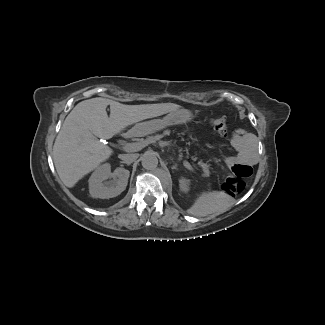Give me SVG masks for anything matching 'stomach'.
<instances>
[{"label": "stomach", "mask_w": 325, "mask_h": 325, "mask_svg": "<svg viewBox=\"0 0 325 325\" xmlns=\"http://www.w3.org/2000/svg\"><path fill=\"white\" fill-rule=\"evenodd\" d=\"M191 115L181 110L170 112L163 119H155L148 122L140 123L134 126L129 134L131 136L140 137L151 134L153 131H159L166 126L182 124L190 120Z\"/></svg>", "instance_id": "1"}]
</instances>
